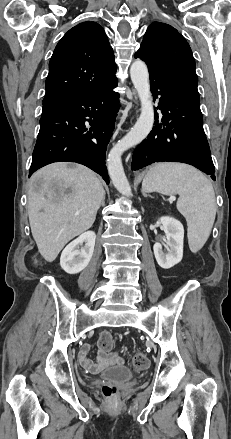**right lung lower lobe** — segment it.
Segmentation results:
<instances>
[{"label":"right lung lower lobe","mask_w":231,"mask_h":439,"mask_svg":"<svg viewBox=\"0 0 231 439\" xmlns=\"http://www.w3.org/2000/svg\"><path fill=\"white\" fill-rule=\"evenodd\" d=\"M116 86L115 77L106 87L41 116L29 176L47 164L69 161L91 168L109 184L105 153L119 109Z\"/></svg>","instance_id":"obj_1"}]
</instances>
